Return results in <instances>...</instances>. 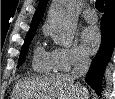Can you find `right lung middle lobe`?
Returning a JSON list of instances; mask_svg holds the SVG:
<instances>
[{"mask_svg":"<svg viewBox=\"0 0 115 99\" xmlns=\"http://www.w3.org/2000/svg\"><path fill=\"white\" fill-rule=\"evenodd\" d=\"M33 36H34V33L26 35V38H25V41H24V44L22 46L21 53H20V56H19V61H18L19 64L24 62L25 55L28 51L29 43L32 40Z\"/></svg>","mask_w":115,"mask_h":99,"instance_id":"right-lung-middle-lobe-1","label":"right lung middle lobe"}]
</instances>
